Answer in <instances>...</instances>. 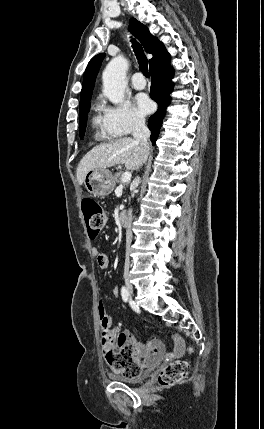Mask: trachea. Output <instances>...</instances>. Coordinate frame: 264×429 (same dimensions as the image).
I'll return each mask as SVG.
<instances>
[{
    "label": "trachea",
    "mask_w": 264,
    "mask_h": 429,
    "mask_svg": "<svg viewBox=\"0 0 264 429\" xmlns=\"http://www.w3.org/2000/svg\"><path fill=\"white\" fill-rule=\"evenodd\" d=\"M132 48L137 57L140 71L144 74V76L149 77L148 72V61L142 49V46L137 43L134 39H132Z\"/></svg>",
    "instance_id": "obj_1"
}]
</instances>
